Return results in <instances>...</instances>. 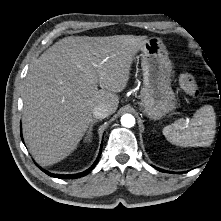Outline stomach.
Instances as JSON below:
<instances>
[{
	"instance_id": "0dacf381",
	"label": "stomach",
	"mask_w": 221,
	"mask_h": 221,
	"mask_svg": "<svg viewBox=\"0 0 221 221\" xmlns=\"http://www.w3.org/2000/svg\"><path fill=\"white\" fill-rule=\"evenodd\" d=\"M141 51L143 70L141 105L149 118L160 119L177 105L171 88L172 63L165 45L159 38L147 39Z\"/></svg>"
}]
</instances>
